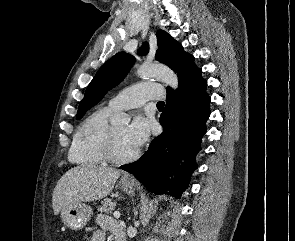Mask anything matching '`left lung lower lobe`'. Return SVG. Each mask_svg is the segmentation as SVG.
I'll return each mask as SVG.
<instances>
[{
    "label": "left lung lower lobe",
    "instance_id": "0a47b994",
    "mask_svg": "<svg viewBox=\"0 0 295 241\" xmlns=\"http://www.w3.org/2000/svg\"><path fill=\"white\" fill-rule=\"evenodd\" d=\"M206 87L200 71L177 93L167 91V104L160 116L162 134L138 161L120 167L134 174L149 191L180 198L188 187L210 115Z\"/></svg>",
    "mask_w": 295,
    "mask_h": 241
}]
</instances>
